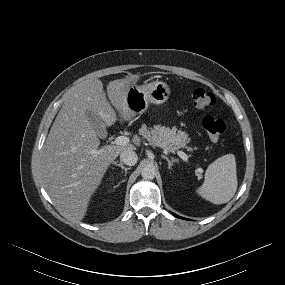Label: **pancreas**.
<instances>
[{"label": "pancreas", "instance_id": "pancreas-1", "mask_svg": "<svg viewBox=\"0 0 285 285\" xmlns=\"http://www.w3.org/2000/svg\"><path fill=\"white\" fill-rule=\"evenodd\" d=\"M140 134L153 146H158L169 152H174L179 148H187L189 142L188 134L182 131H177L175 128L155 125L149 129L143 125L140 129Z\"/></svg>", "mask_w": 285, "mask_h": 285}]
</instances>
